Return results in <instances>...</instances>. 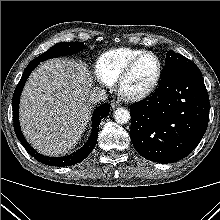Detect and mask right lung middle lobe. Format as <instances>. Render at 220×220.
Wrapping results in <instances>:
<instances>
[{"instance_id":"obj_1","label":"right lung middle lobe","mask_w":220,"mask_h":220,"mask_svg":"<svg viewBox=\"0 0 220 220\" xmlns=\"http://www.w3.org/2000/svg\"><path fill=\"white\" fill-rule=\"evenodd\" d=\"M85 46L83 42H63L54 45L52 48L44 52L43 54L39 55L37 58L32 60L31 62H36L39 64V62L63 56V55H68V54H73L81 51L84 49Z\"/></svg>"}]
</instances>
